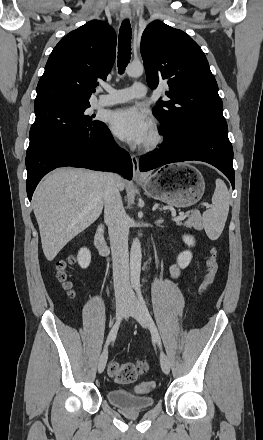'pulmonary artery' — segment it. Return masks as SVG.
I'll return each mask as SVG.
<instances>
[{
	"mask_svg": "<svg viewBox=\"0 0 263 440\" xmlns=\"http://www.w3.org/2000/svg\"><path fill=\"white\" fill-rule=\"evenodd\" d=\"M146 91V85L141 82H136L132 86L120 90H108L107 94L101 95L95 101V106H111L134 98H141L146 94Z\"/></svg>",
	"mask_w": 263,
	"mask_h": 440,
	"instance_id": "obj_1",
	"label": "pulmonary artery"
}]
</instances>
